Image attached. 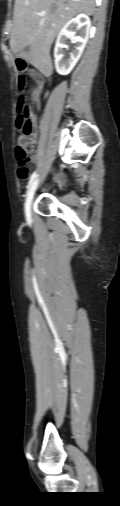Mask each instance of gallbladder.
<instances>
[{"label": "gallbladder", "mask_w": 120, "mask_h": 506, "mask_svg": "<svg viewBox=\"0 0 120 506\" xmlns=\"http://www.w3.org/2000/svg\"><path fill=\"white\" fill-rule=\"evenodd\" d=\"M25 51H26V52H29V51H30V47H26V48H25Z\"/></svg>", "instance_id": "obj_1"}]
</instances>
